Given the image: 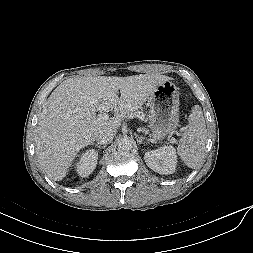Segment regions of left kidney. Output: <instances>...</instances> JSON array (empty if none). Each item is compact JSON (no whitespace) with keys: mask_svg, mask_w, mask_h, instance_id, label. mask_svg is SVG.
Here are the masks:
<instances>
[{"mask_svg":"<svg viewBox=\"0 0 253 253\" xmlns=\"http://www.w3.org/2000/svg\"><path fill=\"white\" fill-rule=\"evenodd\" d=\"M147 166L159 174H172L177 165V156L174 147L164 146L144 154Z\"/></svg>","mask_w":253,"mask_h":253,"instance_id":"5707ae66","label":"left kidney"}]
</instances>
